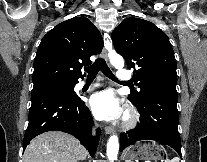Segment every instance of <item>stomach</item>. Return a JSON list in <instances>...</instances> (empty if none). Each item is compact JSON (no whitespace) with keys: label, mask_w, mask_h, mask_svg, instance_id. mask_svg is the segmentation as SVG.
Returning <instances> with one entry per match:
<instances>
[{"label":"stomach","mask_w":207,"mask_h":162,"mask_svg":"<svg viewBox=\"0 0 207 162\" xmlns=\"http://www.w3.org/2000/svg\"><path fill=\"white\" fill-rule=\"evenodd\" d=\"M166 151L163 146L155 142H138L129 147L125 153L124 158L126 162H133L134 160H160L164 159Z\"/></svg>","instance_id":"obj_1"}]
</instances>
